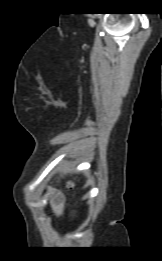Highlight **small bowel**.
<instances>
[{
	"mask_svg": "<svg viewBox=\"0 0 162 261\" xmlns=\"http://www.w3.org/2000/svg\"><path fill=\"white\" fill-rule=\"evenodd\" d=\"M53 203H54V207L57 210H59L63 203V197L59 193H54L53 194Z\"/></svg>",
	"mask_w": 162,
	"mask_h": 261,
	"instance_id": "c3829d8e",
	"label": "small bowel"
}]
</instances>
